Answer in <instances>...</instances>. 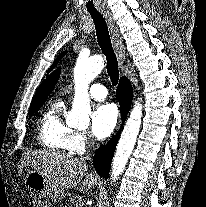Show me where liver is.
Listing matches in <instances>:
<instances>
[{
	"label": "liver",
	"mask_w": 206,
	"mask_h": 207,
	"mask_svg": "<svg viewBox=\"0 0 206 207\" xmlns=\"http://www.w3.org/2000/svg\"><path fill=\"white\" fill-rule=\"evenodd\" d=\"M27 164L45 176L53 187L61 193L54 198H63L64 189L75 187L86 175L87 164L84 160L74 158L54 150L34 151L24 156L22 165ZM98 183L97 178L87 174L80 191H87Z\"/></svg>",
	"instance_id": "liver-1"
}]
</instances>
